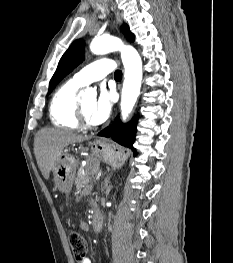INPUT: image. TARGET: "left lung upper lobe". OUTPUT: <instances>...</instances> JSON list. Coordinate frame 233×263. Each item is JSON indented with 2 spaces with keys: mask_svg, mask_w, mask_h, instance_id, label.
<instances>
[{
  "mask_svg": "<svg viewBox=\"0 0 233 263\" xmlns=\"http://www.w3.org/2000/svg\"><path fill=\"white\" fill-rule=\"evenodd\" d=\"M122 31L125 37L133 42L134 35L130 32L129 27L124 24L122 26ZM84 54V41L76 40L74 41L68 50L63 54L59 61L56 72L54 73L50 84L48 94L52 92L58 82L65 77L69 72H71L79 63L83 60Z\"/></svg>",
  "mask_w": 233,
  "mask_h": 263,
  "instance_id": "obj_1",
  "label": "left lung upper lobe"
}]
</instances>
